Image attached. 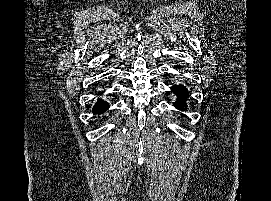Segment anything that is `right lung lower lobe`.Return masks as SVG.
<instances>
[{
	"label": "right lung lower lobe",
	"mask_w": 271,
	"mask_h": 201,
	"mask_svg": "<svg viewBox=\"0 0 271 201\" xmlns=\"http://www.w3.org/2000/svg\"><path fill=\"white\" fill-rule=\"evenodd\" d=\"M109 108V104L102 100L96 102L95 106L93 107V113L101 114Z\"/></svg>",
	"instance_id": "98d812e1"
}]
</instances>
